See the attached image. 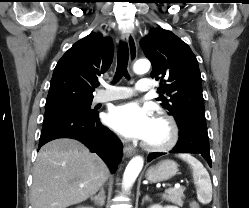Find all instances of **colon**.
Instances as JSON below:
<instances>
[{
  "mask_svg": "<svg viewBox=\"0 0 249 208\" xmlns=\"http://www.w3.org/2000/svg\"><path fill=\"white\" fill-rule=\"evenodd\" d=\"M191 208H199V206H198V204L195 201H193L191 203Z\"/></svg>",
  "mask_w": 249,
  "mask_h": 208,
  "instance_id": "1",
  "label": "colon"
}]
</instances>
